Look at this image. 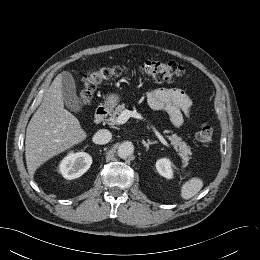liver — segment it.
Returning a JSON list of instances; mask_svg holds the SVG:
<instances>
[{"label":"liver","mask_w":260,"mask_h":260,"mask_svg":"<svg viewBox=\"0 0 260 260\" xmlns=\"http://www.w3.org/2000/svg\"><path fill=\"white\" fill-rule=\"evenodd\" d=\"M87 137L78 119L64 108L62 73L50 85L26 130L25 156L31 177L48 159Z\"/></svg>","instance_id":"6515ba94"}]
</instances>
